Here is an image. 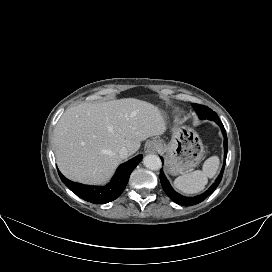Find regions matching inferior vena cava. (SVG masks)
I'll list each match as a JSON object with an SVG mask.
<instances>
[{"label": "inferior vena cava", "mask_w": 272, "mask_h": 272, "mask_svg": "<svg viewBox=\"0 0 272 272\" xmlns=\"http://www.w3.org/2000/svg\"><path fill=\"white\" fill-rule=\"evenodd\" d=\"M129 151L126 147H122L120 150H119V156L121 159H125L129 156Z\"/></svg>", "instance_id": "602c4592"}]
</instances>
